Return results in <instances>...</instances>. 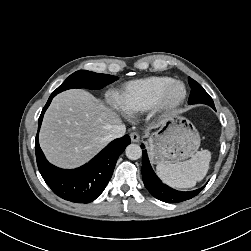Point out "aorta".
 I'll return each mask as SVG.
<instances>
[{
    "label": "aorta",
    "instance_id": "1",
    "mask_svg": "<svg viewBox=\"0 0 251 251\" xmlns=\"http://www.w3.org/2000/svg\"><path fill=\"white\" fill-rule=\"evenodd\" d=\"M126 156L131 160H137L142 156V149L137 144H130L125 150Z\"/></svg>",
    "mask_w": 251,
    "mask_h": 251
}]
</instances>
